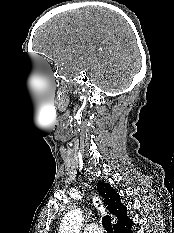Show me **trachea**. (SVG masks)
<instances>
[{"label":"trachea","instance_id":"1","mask_svg":"<svg viewBox=\"0 0 174 233\" xmlns=\"http://www.w3.org/2000/svg\"><path fill=\"white\" fill-rule=\"evenodd\" d=\"M102 225H103L104 229L107 231V233H113L111 218L109 215H104L102 217Z\"/></svg>","mask_w":174,"mask_h":233}]
</instances>
